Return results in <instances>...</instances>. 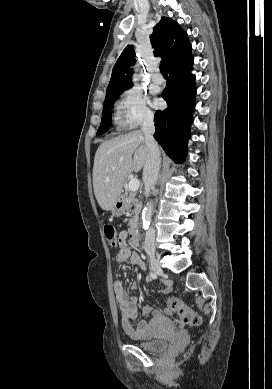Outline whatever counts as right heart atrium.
I'll return each instance as SVG.
<instances>
[{
  "instance_id": "1",
  "label": "right heart atrium",
  "mask_w": 272,
  "mask_h": 389,
  "mask_svg": "<svg viewBox=\"0 0 272 389\" xmlns=\"http://www.w3.org/2000/svg\"><path fill=\"white\" fill-rule=\"evenodd\" d=\"M117 107L127 127L136 128L153 120L147 96L136 88L125 90L120 96Z\"/></svg>"
}]
</instances>
